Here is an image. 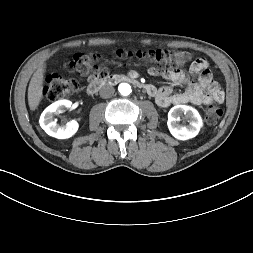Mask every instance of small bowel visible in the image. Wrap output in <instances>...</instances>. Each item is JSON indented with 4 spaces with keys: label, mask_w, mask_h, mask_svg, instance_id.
Returning a JSON list of instances; mask_svg holds the SVG:
<instances>
[{
    "label": "small bowel",
    "mask_w": 253,
    "mask_h": 253,
    "mask_svg": "<svg viewBox=\"0 0 253 253\" xmlns=\"http://www.w3.org/2000/svg\"><path fill=\"white\" fill-rule=\"evenodd\" d=\"M191 74H199L198 83H193L190 78L173 65L150 67L148 74L156 78H166L186 88L181 92H173L171 86L156 88L153 85L147 93L152 96L158 106L166 108L170 105L192 103L195 105L222 102L224 92L213 80L208 63L203 58L196 59L190 66Z\"/></svg>",
    "instance_id": "small-bowel-1"
}]
</instances>
